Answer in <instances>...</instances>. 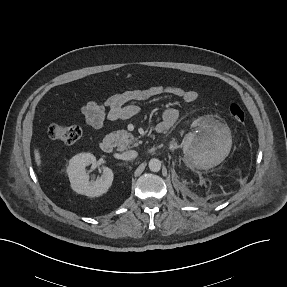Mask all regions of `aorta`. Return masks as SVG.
Returning <instances> with one entry per match:
<instances>
[{
    "mask_svg": "<svg viewBox=\"0 0 287 287\" xmlns=\"http://www.w3.org/2000/svg\"><path fill=\"white\" fill-rule=\"evenodd\" d=\"M148 166L152 172H158L161 169V161L159 159L153 158L149 161Z\"/></svg>",
    "mask_w": 287,
    "mask_h": 287,
    "instance_id": "1",
    "label": "aorta"
}]
</instances>
